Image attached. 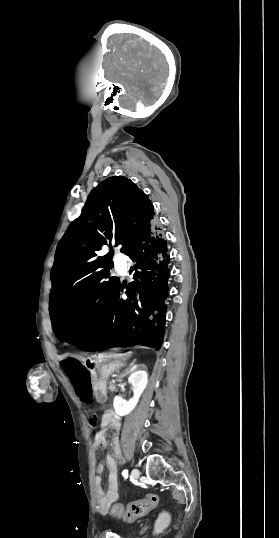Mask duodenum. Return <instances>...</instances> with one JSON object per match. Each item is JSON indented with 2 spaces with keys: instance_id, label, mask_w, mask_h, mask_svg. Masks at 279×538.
I'll use <instances>...</instances> for the list:
<instances>
[{
  "instance_id": "410a0bca",
  "label": "duodenum",
  "mask_w": 279,
  "mask_h": 538,
  "mask_svg": "<svg viewBox=\"0 0 279 538\" xmlns=\"http://www.w3.org/2000/svg\"><path fill=\"white\" fill-rule=\"evenodd\" d=\"M108 409H111V406H108ZM105 413H110V410H105Z\"/></svg>"
}]
</instances>
